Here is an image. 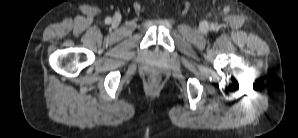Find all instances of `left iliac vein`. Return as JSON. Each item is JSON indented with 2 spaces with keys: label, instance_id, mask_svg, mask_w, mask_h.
Wrapping results in <instances>:
<instances>
[{
  "label": "left iliac vein",
  "instance_id": "4c4485c4",
  "mask_svg": "<svg viewBox=\"0 0 298 138\" xmlns=\"http://www.w3.org/2000/svg\"><path fill=\"white\" fill-rule=\"evenodd\" d=\"M200 30H201V32H203V33H207L208 30H209V25H208V23L205 22V21L202 22L201 25H200Z\"/></svg>",
  "mask_w": 298,
  "mask_h": 138
}]
</instances>
